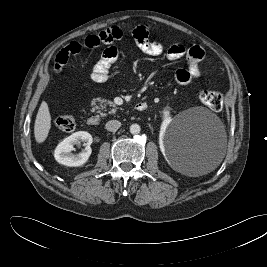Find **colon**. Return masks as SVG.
I'll return each mask as SVG.
<instances>
[{"label":"colon","mask_w":267,"mask_h":267,"mask_svg":"<svg viewBox=\"0 0 267 267\" xmlns=\"http://www.w3.org/2000/svg\"><path fill=\"white\" fill-rule=\"evenodd\" d=\"M199 98L211 110L219 111L222 109L223 96L220 92L205 90L200 93ZM56 126L64 132H70L75 129L76 121L71 115H63L56 119Z\"/></svg>","instance_id":"5ec220e1"}]
</instances>
